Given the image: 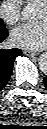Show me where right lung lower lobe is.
<instances>
[{"label": "right lung lower lobe", "mask_w": 47, "mask_h": 129, "mask_svg": "<svg viewBox=\"0 0 47 129\" xmlns=\"http://www.w3.org/2000/svg\"><path fill=\"white\" fill-rule=\"evenodd\" d=\"M7 37V29L5 27L0 28V43ZM21 54L22 51L17 48L0 49V90L8 83L15 58Z\"/></svg>", "instance_id": "right-lung-lower-lobe-1"}]
</instances>
